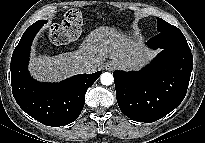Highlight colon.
Returning <instances> with one entry per match:
<instances>
[{
	"instance_id": "colon-1",
	"label": "colon",
	"mask_w": 205,
	"mask_h": 143,
	"mask_svg": "<svg viewBox=\"0 0 205 143\" xmlns=\"http://www.w3.org/2000/svg\"><path fill=\"white\" fill-rule=\"evenodd\" d=\"M82 14L76 9H69L61 24H53L49 28V37L58 45L69 44L78 39L82 28Z\"/></svg>"
}]
</instances>
